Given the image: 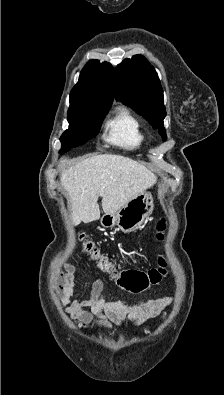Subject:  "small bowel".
I'll list each match as a JSON object with an SVG mask.
<instances>
[{"label":"small bowel","mask_w":224,"mask_h":395,"mask_svg":"<svg viewBox=\"0 0 224 395\" xmlns=\"http://www.w3.org/2000/svg\"><path fill=\"white\" fill-rule=\"evenodd\" d=\"M74 271L73 264L67 263L64 266L63 271L58 275L57 291L65 311L83 327L96 325L101 328H112L125 322L140 325L157 316L171 301V297L164 296L135 304H129L126 301L106 302L103 295V282L98 279L93 283L88 300L70 302V297L75 293ZM87 307L91 311H88Z\"/></svg>","instance_id":"small-bowel-1"}]
</instances>
